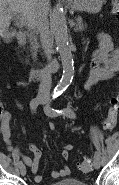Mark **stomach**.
Here are the masks:
<instances>
[{
    "label": "stomach",
    "instance_id": "obj_1",
    "mask_svg": "<svg viewBox=\"0 0 119 185\" xmlns=\"http://www.w3.org/2000/svg\"><path fill=\"white\" fill-rule=\"evenodd\" d=\"M105 1L106 0H73L72 9L76 11L97 13L101 10Z\"/></svg>",
    "mask_w": 119,
    "mask_h": 185
}]
</instances>
